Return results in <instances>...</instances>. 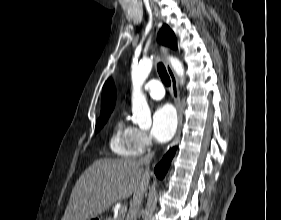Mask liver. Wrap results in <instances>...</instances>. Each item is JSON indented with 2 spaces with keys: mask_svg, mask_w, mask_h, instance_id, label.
<instances>
[{
  "mask_svg": "<svg viewBox=\"0 0 281 220\" xmlns=\"http://www.w3.org/2000/svg\"><path fill=\"white\" fill-rule=\"evenodd\" d=\"M142 180L149 184L150 176H146L138 161L98 159L79 177L61 220L95 218L134 194Z\"/></svg>",
  "mask_w": 281,
  "mask_h": 220,
  "instance_id": "1",
  "label": "liver"
}]
</instances>
